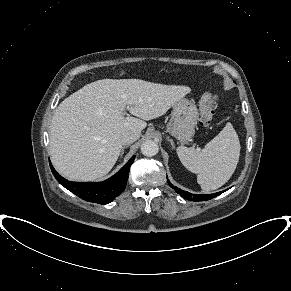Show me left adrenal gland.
<instances>
[{
  "label": "left adrenal gland",
  "instance_id": "obj_1",
  "mask_svg": "<svg viewBox=\"0 0 291 291\" xmlns=\"http://www.w3.org/2000/svg\"><path fill=\"white\" fill-rule=\"evenodd\" d=\"M168 141L171 143L172 149H175V144H174L173 139H170V138L168 137Z\"/></svg>",
  "mask_w": 291,
  "mask_h": 291
}]
</instances>
